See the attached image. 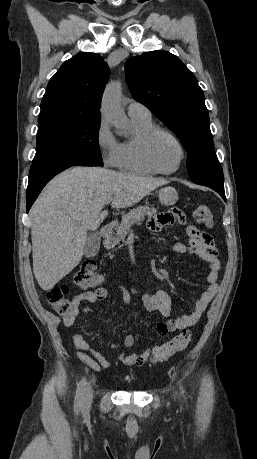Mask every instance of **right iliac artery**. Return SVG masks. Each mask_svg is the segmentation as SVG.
I'll use <instances>...</instances> for the list:
<instances>
[{
  "instance_id": "1",
  "label": "right iliac artery",
  "mask_w": 257,
  "mask_h": 459,
  "mask_svg": "<svg viewBox=\"0 0 257 459\" xmlns=\"http://www.w3.org/2000/svg\"><path fill=\"white\" fill-rule=\"evenodd\" d=\"M86 384L87 382L85 378H83L78 384L76 395H75V402H74V411L76 413L79 412L82 406L83 394H84Z\"/></svg>"
}]
</instances>
